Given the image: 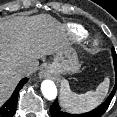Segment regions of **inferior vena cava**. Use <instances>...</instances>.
Wrapping results in <instances>:
<instances>
[{"label": "inferior vena cava", "mask_w": 117, "mask_h": 117, "mask_svg": "<svg viewBox=\"0 0 117 117\" xmlns=\"http://www.w3.org/2000/svg\"><path fill=\"white\" fill-rule=\"evenodd\" d=\"M20 72L25 74H28L30 72V69L28 67H21Z\"/></svg>", "instance_id": "1"}]
</instances>
